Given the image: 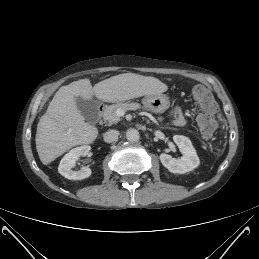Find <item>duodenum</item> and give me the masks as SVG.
I'll use <instances>...</instances> for the list:
<instances>
[{"mask_svg":"<svg viewBox=\"0 0 259 259\" xmlns=\"http://www.w3.org/2000/svg\"><path fill=\"white\" fill-rule=\"evenodd\" d=\"M106 106H107V105H106L105 103H101V104L99 105V107H98V115H99V118L101 117V115H102L104 109L106 108Z\"/></svg>","mask_w":259,"mask_h":259,"instance_id":"410a0bca","label":"duodenum"}]
</instances>
